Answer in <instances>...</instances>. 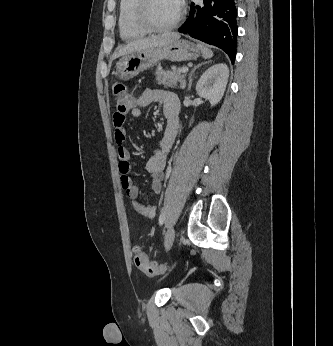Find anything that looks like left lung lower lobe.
Wrapping results in <instances>:
<instances>
[{"instance_id": "obj_1", "label": "left lung lower lobe", "mask_w": 333, "mask_h": 346, "mask_svg": "<svg viewBox=\"0 0 333 346\" xmlns=\"http://www.w3.org/2000/svg\"><path fill=\"white\" fill-rule=\"evenodd\" d=\"M237 28L235 0H203L199 5L192 3L189 18L179 32L221 48L234 63Z\"/></svg>"}]
</instances>
